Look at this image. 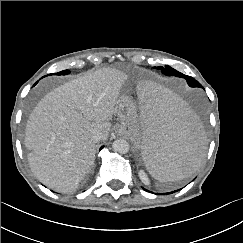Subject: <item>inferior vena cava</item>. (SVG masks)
<instances>
[{
  "label": "inferior vena cava",
  "instance_id": "obj_1",
  "mask_svg": "<svg viewBox=\"0 0 243 243\" xmlns=\"http://www.w3.org/2000/svg\"><path fill=\"white\" fill-rule=\"evenodd\" d=\"M92 139L94 142L97 143V142L101 141L103 139V137H102V134L96 133L95 135H93Z\"/></svg>",
  "mask_w": 243,
  "mask_h": 243
}]
</instances>
